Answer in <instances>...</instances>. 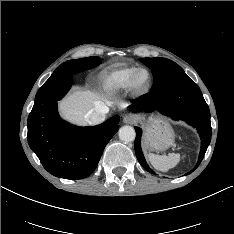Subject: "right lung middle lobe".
<instances>
[{"label":"right lung middle lobe","instance_id":"right-lung-middle-lobe-1","mask_svg":"<svg viewBox=\"0 0 234 234\" xmlns=\"http://www.w3.org/2000/svg\"><path fill=\"white\" fill-rule=\"evenodd\" d=\"M101 63L99 57H87L75 60H69L61 64L55 71L69 72L76 74L77 72L85 71L93 68Z\"/></svg>","mask_w":234,"mask_h":234}]
</instances>
